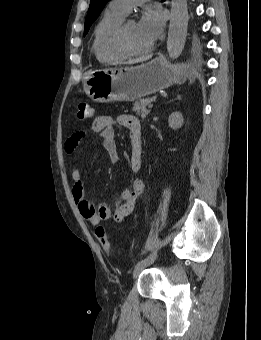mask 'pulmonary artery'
Returning a JSON list of instances; mask_svg holds the SVG:
<instances>
[{
    "instance_id": "e3ab8cb5",
    "label": "pulmonary artery",
    "mask_w": 261,
    "mask_h": 340,
    "mask_svg": "<svg viewBox=\"0 0 261 340\" xmlns=\"http://www.w3.org/2000/svg\"><path fill=\"white\" fill-rule=\"evenodd\" d=\"M146 0H112L109 7L127 15L132 7L144 2Z\"/></svg>"
}]
</instances>
